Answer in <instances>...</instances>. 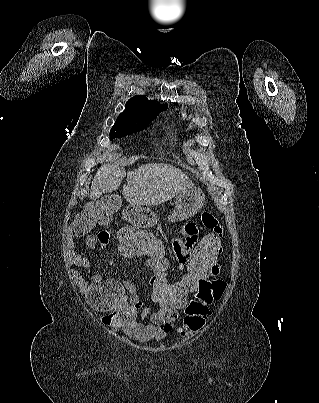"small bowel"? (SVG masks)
<instances>
[{
	"instance_id": "1",
	"label": "small bowel",
	"mask_w": 319,
	"mask_h": 403,
	"mask_svg": "<svg viewBox=\"0 0 319 403\" xmlns=\"http://www.w3.org/2000/svg\"><path fill=\"white\" fill-rule=\"evenodd\" d=\"M198 232V224L191 221L187 222L184 225L183 233H180L172 243V251L180 270L192 260V253L189 250L195 246V242L198 240ZM74 235L79 236L76 233ZM112 235L111 229H93L92 235L86 236V249H105L109 243L108 238H111ZM206 238H210V236ZM68 256L72 265L69 270L70 274L82 292L86 294L89 309H100L101 315H104L105 328L112 329L113 335L124 333L139 342L161 341L172 331L179 313H156V310L146 307L137 294L135 283L130 279L123 280L121 285L120 279H102V275L96 273L90 281H87L74 267L88 268L91 265L89 260L74 252L72 245L68 246ZM149 269L151 272L155 270V268ZM210 274L215 283L223 282L221 265H212ZM151 281L152 275L150 284ZM202 287L203 285L200 283L191 297L198 299ZM138 310H141V320L149 318V323L145 324L137 320L136 312Z\"/></svg>"
}]
</instances>
